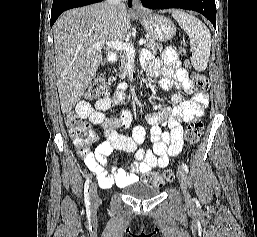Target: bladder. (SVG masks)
I'll return each mask as SVG.
<instances>
[{
    "label": "bladder",
    "instance_id": "obj_1",
    "mask_svg": "<svg viewBox=\"0 0 257 237\" xmlns=\"http://www.w3.org/2000/svg\"><path fill=\"white\" fill-rule=\"evenodd\" d=\"M127 188V194L138 199H150L157 196L160 192V188L140 181L132 182Z\"/></svg>",
    "mask_w": 257,
    "mask_h": 237
}]
</instances>
